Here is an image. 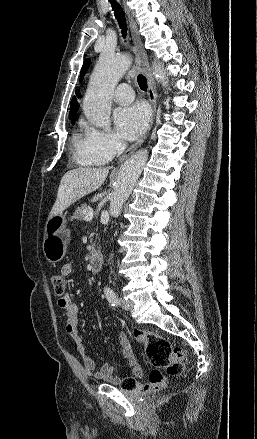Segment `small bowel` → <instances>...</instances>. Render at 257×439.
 Here are the masks:
<instances>
[{
  "instance_id": "1",
  "label": "small bowel",
  "mask_w": 257,
  "mask_h": 439,
  "mask_svg": "<svg viewBox=\"0 0 257 439\" xmlns=\"http://www.w3.org/2000/svg\"><path fill=\"white\" fill-rule=\"evenodd\" d=\"M73 271L71 263H66L61 267L60 275L64 278L69 276ZM58 306L65 310L67 324L66 332L75 343L76 350L82 360L85 373L96 380L108 382L112 385L122 384V377L115 372V367L110 363H105L99 369H96L95 363L87 352L84 340L78 333L79 327V306L74 303L69 295H65L58 299ZM117 344L121 350L122 356L127 364L128 372L137 378H141L142 368L132 353L127 336L125 333H119Z\"/></svg>"
}]
</instances>
